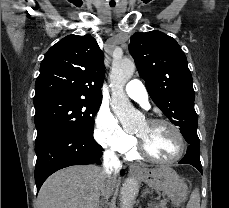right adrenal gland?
Segmentation results:
<instances>
[{
	"label": "right adrenal gland",
	"instance_id": "obj_1",
	"mask_svg": "<svg viewBox=\"0 0 229 208\" xmlns=\"http://www.w3.org/2000/svg\"><path fill=\"white\" fill-rule=\"evenodd\" d=\"M104 200H105V198H104ZM104 204H105V202H103V204H101L100 208H102V206H104Z\"/></svg>",
	"mask_w": 229,
	"mask_h": 208
}]
</instances>
